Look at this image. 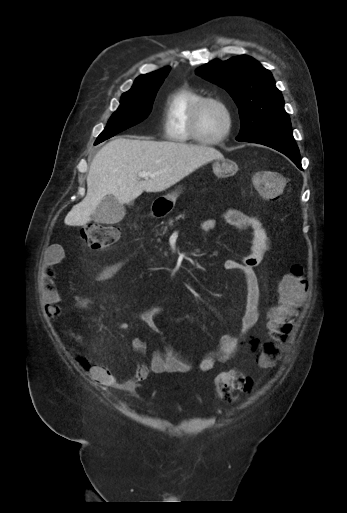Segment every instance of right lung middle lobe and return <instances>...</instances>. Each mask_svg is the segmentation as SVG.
I'll list each match as a JSON object with an SVG mask.
<instances>
[{
  "mask_svg": "<svg viewBox=\"0 0 347 513\" xmlns=\"http://www.w3.org/2000/svg\"><path fill=\"white\" fill-rule=\"evenodd\" d=\"M163 80L139 86L124 93L120 106L111 116L106 128L98 136V143L144 120L151 112L156 93Z\"/></svg>",
  "mask_w": 347,
  "mask_h": 513,
  "instance_id": "right-lung-middle-lobe-1",
  "label": "right lung middle lobe"
}]
</instances>
